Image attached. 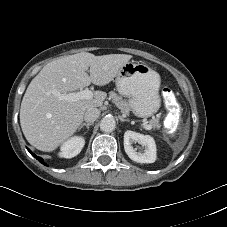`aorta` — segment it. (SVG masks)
I'll use <instances>...</instances> for the list:
<instances>
[{
  "instance_id": "1",
  "label": "aorta",
  "mask_w": 227,
  "mask_h": 227,
  "mask_svg": "<svg viewBox=\"0 0 227 227\" xmlns=\"http://www.w3.org/2000/svg\"><path fill=\"white\" fill-rule=\"evenodd\" d=\"M116 127V121L112 116H105L100 122V129L104 132H112Z\"/></svg>"
}]
</instances>
